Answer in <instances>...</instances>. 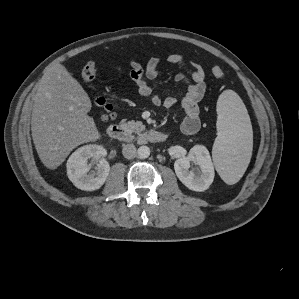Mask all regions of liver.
Here are the masks:
<instances>
[{
  "label": "liver",
  "instance_id": "1",
  "mask_svg": "<svg viewBox=\"0 0 299 299\" xmlns=\"http://www.w3.org/2000/svg\"><path fill=\"white\" fill-rule=\"evenodd\" d=\"M90 109L88 94L65 66L46 70L34 98L31 131L37 154L48 169L59 167L78 145L100 138Z\"/></svg>",
  "mask_w": 299,
  "mask_h": 299
}]
</instances>
